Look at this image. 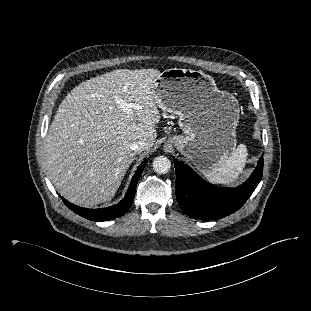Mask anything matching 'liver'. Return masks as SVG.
<instances>
[{
	"label": "liver",
	"instance_id": "1",
	"mask_svg": "<svg viewBox=\"0 0 311 311\" xmlns=\"http://www.w3.org/2000/svg\"><path fill=\"white\" fill-rule=\"evenodd\" d=\"M157 69H117L86 80L61 102L46 137V165L55 188L70 202L93 207L110 201L135 152L149 151L160 121L154 93ZM118 99L138 106L124 111Z\"/></svg>",
	"mask_w": 311,
	"mask_h": 311
}]
</instances>
